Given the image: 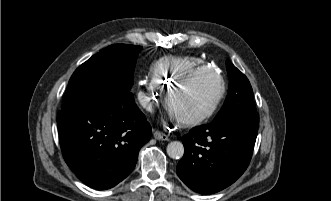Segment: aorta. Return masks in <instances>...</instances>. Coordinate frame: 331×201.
Instances as JSON below:
<instances>
[{
    "label": "aorta",
    "instance_id": "762f6f07",
    "mask_svg": "<svg viewBox=\"0 0 331 201\" xmlns=\"http://www.w3.org/2000/svg\"><path fill=\"white\" fill-rule=\"evenodd\" d=\"M167 154L172 159H180L184 155V146L179 141L170 142L167 146Z\"/></svg>",
    "mask_w": 331,
    "mask_h": 201
}]
</instances>
